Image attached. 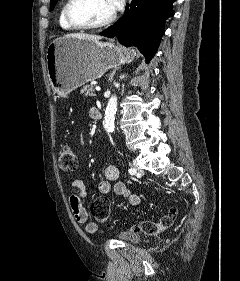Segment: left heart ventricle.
<instances>
[{
	"instance_id": "obj_1",
	"label": "left heart ventricle",
	"mask_w": 240,
	"mask_h": 281,
	"mask_svg": "<svg viewBox=\"0 0 240 281\" xmlns=\"http://www.w3.org/2000/svg\"><path fill=\"white\" fill-rule=\"evenodd\" d=\"M113 12L108 0H77L72 8L73 16L86 23L103 21Z\"/></svg>"
}]
</instances>
